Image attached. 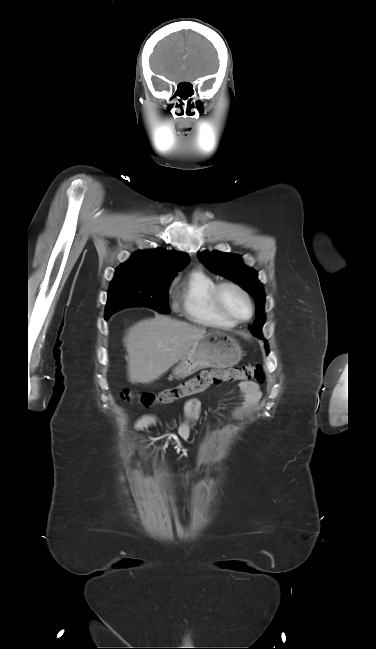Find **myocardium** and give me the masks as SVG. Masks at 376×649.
<instances>
[{
  "label": "myocardium",
  "instance_id": "obj_1",
  "mask_svg": "<svg viewBox=\"0 0 376 649\" xmlns=\"http://www.w3.org/2000/svg\"><path fill=\"white\" fill-rule=\"evenodd\" d=\"M226 289H232V290L236 291L237 293H239L245 299V301L247 302L248 307H249V313H248V315L246 317L239 318V317L233 315L228 310V308H227V306H226V304L224 302V298H223V292ZM213 298H214V301H215L218 309L223 314V316H225L227 319L234 322L235 324L246 322V321L250 320L252 315H253L254 305H253V301H252L249 293L241 285H239L236 282L223 281V282L217 283L214 290H213Z\"/></svg>",
  "mask_w": 376,
  "mask_h": 649
}]
</instances>
